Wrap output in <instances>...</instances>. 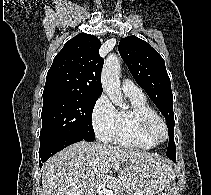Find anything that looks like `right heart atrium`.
<instances>
[{
	"mask_svg": "<svg viewBox=\"0 0 211 195\" xmlns=\"http://www.w3.org/2000/svg\"><path fill=\"white\" fill-rule=\"evenodd\" d=\"M116 113L115 107L105 95H101L94 104L91 122L95 134L103 142H110L113 139Z\"/></svg>",
	"mask_w": 211,
	"mask_h": 195,
	"instance_id": "1",
	"label": "right heart atrium"
}]
</instances>
